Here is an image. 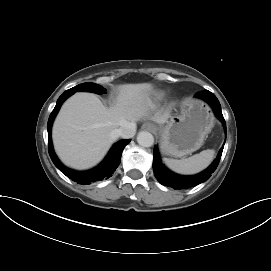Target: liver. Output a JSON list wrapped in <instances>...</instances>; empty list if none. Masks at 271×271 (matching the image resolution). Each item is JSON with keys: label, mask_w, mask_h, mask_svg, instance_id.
<instances>
[{"label": "liver", "mask_w": 271, "mask_h": 271, "mask_svg": "<svg viewBox=\"0 0 271 271\" xmlns=\"http://www.w3.org/2000/svg\"><path fill=\"white\" fill-rule=\"evenodd\" d=\"M151 88L149 83L120 85L116 104L110 108L93 93L78 92L71 96L57 115L52 131L61 161L79 170L98 164L118 138L115 131L145 115V101ZM169 116L165 112L152 120L164 124Z\"/></svg>", "instance_id": "6515ba94"}]
</instances>
